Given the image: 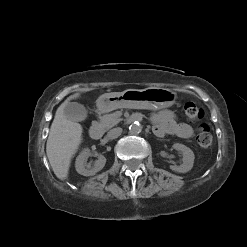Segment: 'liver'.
<instances>
[{
    "instance_id": "liver-1",
    "label": "liver",
    "mask_w": 247,
    "mask_h": 247,
    "mask_svg": "<svg viewBox=\"0 0 247 247\" xmlns=\"http://www.w3.org/2000/svg\"><path fill=\"white\" fill-rule=\"evenodd\" d=\"M79 93L70 96L57 109L46 144V153L54 174L60 180L68 177L71 159L82 142V126L67 119L65 105L70 99L79 97Z\"/></svg>"
}]
</instances>
